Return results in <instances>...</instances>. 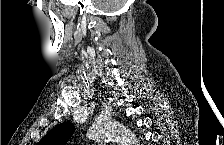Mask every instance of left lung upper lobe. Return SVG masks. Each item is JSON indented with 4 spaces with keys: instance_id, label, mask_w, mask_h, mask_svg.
<instances>
[{
    "instance_id": "1",
    "label": "left lung upper lobe",
    "mask_w": 224,
    "mask_h": 145,
    "mask_svg": "<svg viewBox=\"0 0 224 145\" xmlns=\"http://www.w3.org/2000/svg\"><path fill=\"white\" fill-rule=\"evenodd\" d=\"M74 131L75 126L72 123H62L47 133L39 145H65Z\"/></svg>"
}]
</instances>
